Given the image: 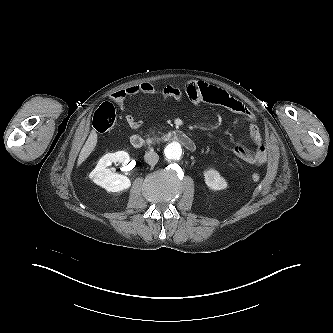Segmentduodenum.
<instances>
[{
    "label": "duodenum",
    "mask_w": 333,
    "mask_h": 333,
    "mask_svg": "<svg viewBox=\"0 0 333 333\" xmlns=\"http://www.w3.org/2000/svg\"><path fill=\"white\" fill-rule=\"evenodd\" d=\"M164 141L178 142L190 152L196 149L194 140L180 129H172L157 136H141L135 134L130 138V142L135 148H150Z\"/></svg>",
    "instance_id": "obj_1"
}]
</instances>
